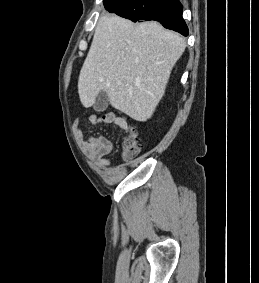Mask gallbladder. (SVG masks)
I'll use <instances>...</instances> for the list:
<instances>
[{
    "label": "gallbladder",
    "mask_w": 259,
    "mask_h": 283,
    "mask_svg": "<svg viewBox=\"0 0 259 283\" xmlns=\"http://www.w3.org/2000/svg\"><path fill=\"white\" fill-rule=\"evenodd\" d=\"M108 105H109L108 94L105 91H101L96 97L93 108L97 112H103L107 109Z\"/></svg>",
    "instance_id": "obj_1"
}]
</instances>
